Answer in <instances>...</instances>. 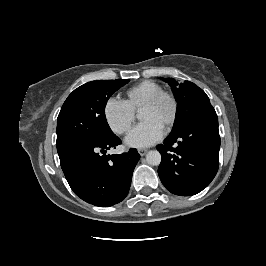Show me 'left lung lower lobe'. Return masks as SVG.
Masks as SVG:
<instances>
[{
	"instance_id": "left-lung-lower-lobe-1",
	"label": "left lung lower lobe",
	"mask_w": 266,
	"mask_h": 266,
	"mask_svg": "<svg viewBox=\"0 0 266 266\" xmlns=\"http://www.w3.org/2000/svg\"><path fill=\"white\" fill-rule=\"evenodd\" d=\"M219 149L218 118L212 107L157 146L162 156L158 174L163 185L181 196L201 192L218 171Z\"/></svg>"
}]
</instances>
